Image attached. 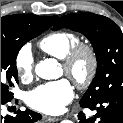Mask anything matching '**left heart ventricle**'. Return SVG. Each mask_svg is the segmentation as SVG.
<instances>
[{
  "label": "left heart ventricle",
  "instance_id": "b2bd125f",
  "mask_svg": "<svg viewBox=\"0 0 123 123\" xmlns=\"http://www.w3.org/2000/svg\"><path fill=\"white\" fill-rule=\"evenodd\" d=\"M87 69H88V60L85 57H83L75 65L74 74L76 77H82L87 72ZM62 70L64 72L63 67Z\"/></svg>",
  "mask_w": 123,
  "mask_h": 123
}]
</instances>
